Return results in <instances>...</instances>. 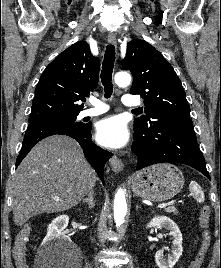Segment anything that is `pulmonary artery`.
<instances>
[{
	"mask_svg": "<svg viewBox=\"0 0 221 268\" xmlns=\"http://www.w3.org/2000/svg\"><path fill=\"white\" fill-rule=\"evenodd\" d=\"M123 103L128 107H138L141 105L139 98L132 95H125L122 99ZM92 107L83 110L80 113V117H95L104 114L108 110V106L100 100L92 99L90 100Z\"/></svg>",
	"mask_w": 221,
	"mask_h": 268,
	"instance_id": "obj_1",
	"label": "pulmonary artery"
}]
</instances>
